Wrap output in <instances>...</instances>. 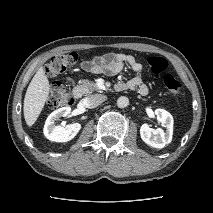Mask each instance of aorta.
Listing matches in <instances>:
<instances>
[{
  "instance_id": "1",
  "label": "aorta",
  "mask_w": 213,
  "mask_h": 213,
  "mask_svg": "<svg viewBox=\"0 0 213 213\" xmlns=\"http://www.w3.org/2000/svg\"><path fill=\"white\" fill-rule=\"evenodd\" d=\"M129 105V99L125 96H121L117 99V106L119 108H125Z\"/></svg>"
}]
</instances>
